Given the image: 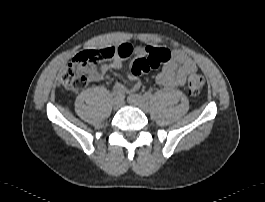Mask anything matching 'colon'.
<instances>
[{
  "instance_id": "5ec220e1",
  "label": "colon",
  "mask_w": 265,
  "mask_h": 202,
  "mask_svg": "<svg viewBox=\"0 0 265 202\" xmlns=\"http://www.w3.org/2000/svg\"><path fill=\"white\" fill-rule=\"evenodd\" d=\"M115 53L112 49H86L76 54L74 60L63 70L59 84L70 90L83 89L87 85V79L83 71V66L89 63L99 62L113 58ZM170 51L166 48L148 49L145 54L134 60L131 73L134 77H140L152 68L158 67L161 63L170 59ZM204 86V78L197 72L189 74L187 82L188 93L198 96Z\"/></svg>"
}]
</instances>
